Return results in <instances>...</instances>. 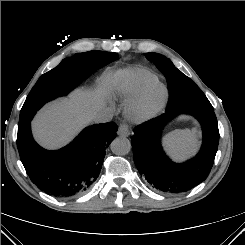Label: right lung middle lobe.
Instances as JSON below:
<instances>
[{
	"instance_id": "dd1d6c3e",
	"label": "right lung middle lobe",
	"mask_w": 245,
	"mask_h": 245,
	"mask_svg": "<svg viewBox=\"0 0 245 245\" xmlns=\"http://www.w3.org/2000/svg\"><path fill=\"white\" fill-rule=\"evenodd\" d=\"M87 57H97L108 64L117 60L118 55L103 51H89L63 59L57 67L43 74L33 86L20 111L19 125L31 121L36 111L46 102L66 95L74 89L84 79L82 61Z\"/></svg>"
}]
</instances>
